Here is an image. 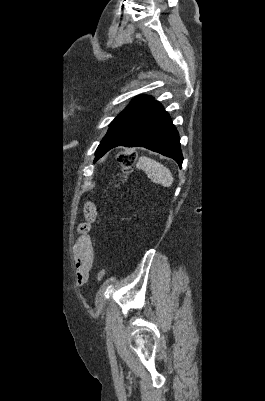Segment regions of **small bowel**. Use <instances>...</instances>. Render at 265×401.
I'll use <instances>...</instances> for the list:
<instances>
[{
  "mask_svg": "<svg viewBox=\"0 0 265 401\" xmlns=\"http://www.w3.org/2000/svg\"><path fill=\"white\" fill-rule=\"evenodd\" d=\"M84 222L78 225L79 238L75 244L77 281L80 285L88 281L94 262V247L89 232L97 219V206L87 201L83 207Z\"/></svg>",
  "mask_w": 265,
  "mask_h": 401,
  "instance_id": "small-bowel-1",
  "label": "small bowel"
}]
</instances>
